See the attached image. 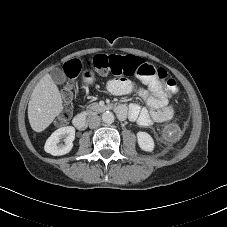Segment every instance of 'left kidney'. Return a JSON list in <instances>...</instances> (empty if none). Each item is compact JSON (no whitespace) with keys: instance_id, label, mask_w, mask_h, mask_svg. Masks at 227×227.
Masks as SVG:
<instances>
[{"instance_id":"5707ae66","label":"left kidney","mask_w":227,"mask_h":227,"mask_svg":"<svg viewBox=\"0 0 227 227\" xmlns=\"http://www.w3.org/2000/svg\"><path fill=\"white\" fill-rule=\"evenodd\" d=\"M137 140L139 147L147 152H152L154 150V140L147 132H138Z\"/></svg>"}]
</instances>
